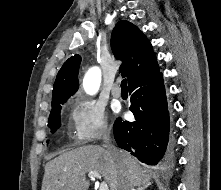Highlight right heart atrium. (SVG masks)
Masks as SVG:
<instances>
[{"label": "right heart atrium", "mask_w": 221, "mask_h": 190, "mask_svg": "<svg viewBox=\"0 0 221 190\" xmlns=\"http://www.w3.org/2000/svg\"><path fill=\"white\" fill-rule=\"evenodd\" d=\"M71 120L75 138L80 144L102 139L108 134L105 110L90 98L80 96L72 100Z\"/></svg>", "instance_id": "d8ad5b80"}]
</instances>
